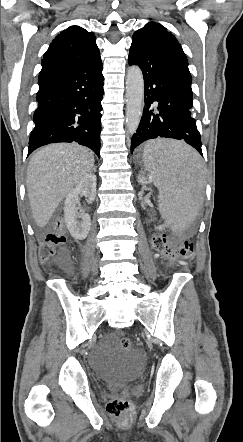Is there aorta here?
<instances>
[{"label":"aorta","mask_w":243,"mask_h":442,"mask_svg":"<svg viewBox=\"0 0 243 442\" xmlns=\"http://www.w3.org/2000/svg\"><path fill=\"white\" fill-rule=\"evenodd\" d=\"M126 125L129 135L136 133L143 111L144 80L141 69L131 66L126 77Z\"/></svg>","instance_id":"obj_1"}]
</instances>
